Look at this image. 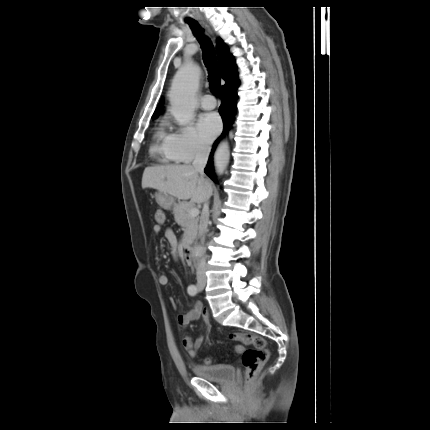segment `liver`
Wrapping results in <instances>:
<instances>
[{
  "instance_id": "obj_1",
  "label": "liver",
  "mask_w": 430,
  "mask_h": 430,
  "mask_svg": "<svg viewBox=\"0 0 430 430\" xmlns=\"http://www.w3.org/2000/svg\"><path fill=\"white\" fill-rule=\"evenodd\" d=\"M153 188L181 200L201 204L213 192L212 182L202 180L191 165H160L145 168L142 188Z\"/></svg>"
}]
</instances>
